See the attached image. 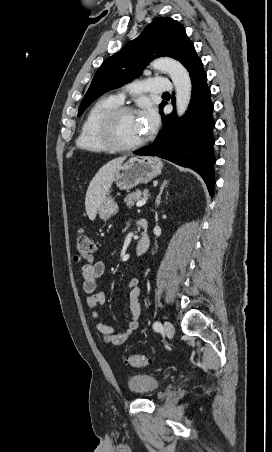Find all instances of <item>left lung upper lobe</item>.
<instances>
[{"label":"left lung upper lobe","mask_w":272,"mask_h":452,"mask_svg":"<svg viewBox=\"0 0 272 452\" xmlns=\"http://www.w3.org/2000/svg\"><path fill=\"white\" fill-rule=\"evenodd\" d=\"M192 47L180 23L169 17L156 18L136 39L102 63L80 104L78 116L103 93L138 76L151 60L168 56L183 63Z\"/></svg>","instance_id":"5c2ea615"}]
</instances>
